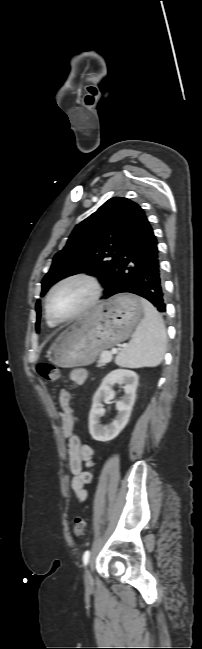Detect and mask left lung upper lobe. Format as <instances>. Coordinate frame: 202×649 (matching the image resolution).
Here are the masks:
<instances>
[{"label": "left lung upper lobe", "mask_w": 202, "mask_h": 649, "mask_svg": "<svg viewBox=\"0 0 202 649\" xmlns=\"http://www.w3.org/2000/svg\"><path fill=\"white\" fill-rule=\"evenodd\" d=\"M145 216L135 202L114 197L78 224L66 246L54 258L42 280L41 296L58 280L82 271L100 272L106 283L113 278L122 247L138 222ZM36 330L40 326V301L36 303Z\"/></svg>", "instance_id": "left-lung-upper-lobe-1"}]
</instances>
